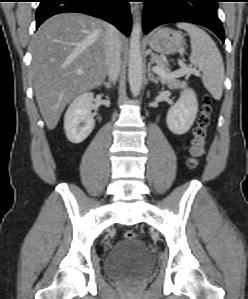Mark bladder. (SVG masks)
I'll return each instance as SVG.
<instances>
[{
    "label": "bladder",
    "mask_w": 248,
    "mask_h": 299,
    "mask_svg": "<svg viewBox=\"0 0 248 299\" xmlns=\"http://www.w3.org/2000/svg\"><path fill=\"white\" fill-rule=\"evenodd\" d=\"M152 269V257L144 242L138 239L118 242L104 261L106 276L116 280L141 279Z\"/></svg>",
    "instance_id": "1"
}]
</instances>
